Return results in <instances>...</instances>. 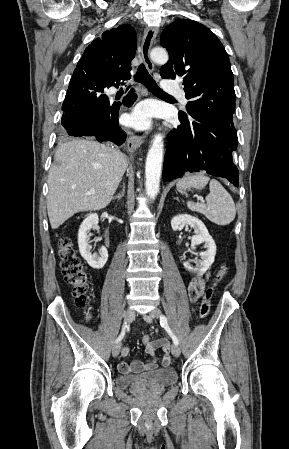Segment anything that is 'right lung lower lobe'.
Listing matches in <instances>:
<instances>
[{"instance_id": "right-lung-lower-lobe-1", "label": "right lung lower lobe", "mask_w": 289, "mask_h": 449, "mask_svg": "<svg viewBox=\"0 0 289 449\" xmlns=\"http://www.w3.org/2000/svg\"><path fill=\"white\" fill-rule=\"evenodd\" d=\"M101 82L79 80L72 77L63 102L61 124L66 136H95L100 142L111 141L121 145L126 133L119 127L118 114L121 103L111 102L103 94L109 88ZM127 95L123 104L131 106L136 94Z\"/></svg>"}]
</instances>
